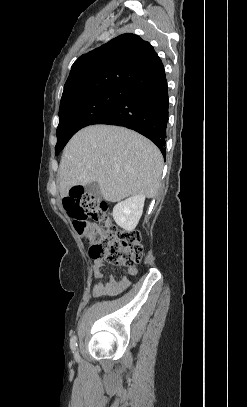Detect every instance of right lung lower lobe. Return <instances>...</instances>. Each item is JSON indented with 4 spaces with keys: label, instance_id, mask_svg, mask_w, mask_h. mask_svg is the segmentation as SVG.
Segmentation results:
<instances>
[{
    "label": "right lung lower lobe",
    "instance_id": "1",
    "mask_svg": "<svg viewBox=\"0 0 247 407\" xmlns=\"http://www.w3.org/2000/svg\"><path fill=\"white\" fill-rule=\"evenodd\" d=\"M168 87L163 70L156 77L134 88L132 93L93 124L130 128L149 138L166 157Z\"/></svg>",
    "mask_w": 247,
    "mask_h": 407
}]
</instances>
